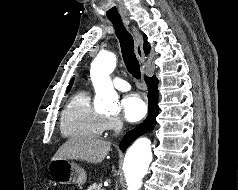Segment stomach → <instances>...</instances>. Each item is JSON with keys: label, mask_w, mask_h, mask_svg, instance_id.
Masks as SVG:
<instances>
[{"label": "stomach", "mask_w": 238, "mask_h": 190, "mask_svg": "<svg viewBox=\"0 0 238 190\" xmlns=\"http://www.w3.org/2000/svg\"><path fill=\"white\" fill-rule=\"evenodd\" d=\"M50 177L59 184L83 185L87 176L83 168L69 160H55L48 165Z\"/></svg>", "instance_id": "1"}]
</instances>
